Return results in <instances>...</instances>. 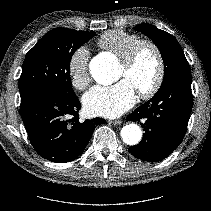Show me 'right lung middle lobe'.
<instances>
[{
	"mask_svg": "<svg viewBox=\"0 0 211 211\" xmlns=\"http://www.w3.org/2000/svg\"><path fill=\"white\" fill-rule=\"evenodd\" d=\"M95 35L94 32L55 28L27 53L19 79L21 101L38 93L74 96L70 61L74 52Z\"/></svg>",
	"mask_w": 211,
	"mask_h": 211,
	"instance_id": "right-lung-middle-lobe-1",
	"label": "right lung middle lobe"
}]
</instances>
